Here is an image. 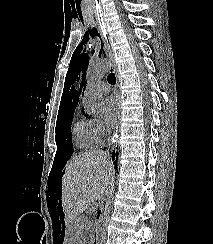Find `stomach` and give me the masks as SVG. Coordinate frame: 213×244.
<instances>
[{"label": "stomach", "mask_w": 213, "mask_h": 244, "mask_svg": "<svg viewBox=\"0 0 213 244\" xmlns=\"http://www.w3.org/2000/svg\"><path fill=\"white\" fill-rule=\"evenodd\" d=\"M78 221H69L65 223V228H67L66 239H64V244H73V239H79L80 229H78Z\"/></svg>", "instance_id": "0dacf381"}]
</instances>
